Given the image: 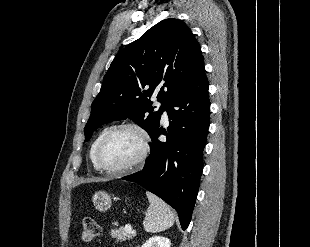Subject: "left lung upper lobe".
I'll use <instances>...</instances> for the list:
<instances>
[{"label":"left lung upper lobe","mask_w":310,"mask_h":247,"mask_svg":"<svg viewBox=\"0 0 310 247\" xmlns=\"http://www.w3.org/2000/svg\"><path fill=\"white\" fill-rule=\"evenodd\" d=\"M203 67L200 45L181 20L160 21L117 54L92 103L85 142L104 123L131 119L151 136L162 112ZM162 103L154 112L150 97Z\"/></svg>","instance_id":"1"}]
</instances>
